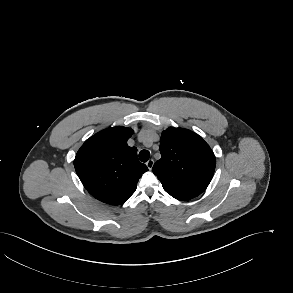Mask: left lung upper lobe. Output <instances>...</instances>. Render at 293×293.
<instances>
[{
	"label": "left lung upper lobe",
	"mask_w": 293,
	"mask_h": 293,
	"mask_svg": "<svg viewBox=\"0 0 293 293\" xmlns=\"http://www.w3.org/2000/svg\"><path fill=\"white\" fill-rule=\"evenodd\" d=\"M161 159L153 173L164 190L178 200H190L209 185L216 159L209 145L196 133L169 127L160 139Z\"/></svg>",
	"instance_id": "5c2ea615"
}]
</instances>
